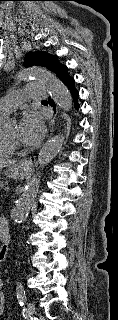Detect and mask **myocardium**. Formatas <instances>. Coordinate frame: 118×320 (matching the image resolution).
Listing matches in <instances>:
<instances>
[{
  "label": "myocardium",
  "instance_id": "1",
  "mask_svg": "<svg viewBox=\"0 0 118 320\" xmlns=\"http://www.w3.org/2000/svg\"><path fill=\"white\" fill-rule=\"evenodd\" d=\"M0 134H1V137H2L3 141H4L10 148H12L13 150H14V149H15V150H20V149L23 148L19 143L15 142V141H13L12 139H10L9 137H7V136L4 134V131L0 130Z\"/></svg>",
  "mask_w": 118,
  "mask_h": 320
}]
</instances>
